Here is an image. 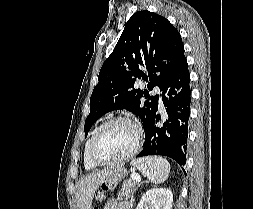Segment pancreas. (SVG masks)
<instances>
[{
    "instance_id": "obj_1",
    "label": "pancreas",
    "mask_w": 253,
    "mask_h": 209,
    "mask_svg": "<svg viewBox=\"0 0 253 209\" xmlns=\"http://www.w3.org/2000/svg\"><path fill=\"white\" fill-rule=\"evenodd\" d=\"M136 191V182L132 180H127L123 183L121 191L118 193V200H125L132 198L134 192ZM123 197V198H122Z\"/></svg>"
}]
</instances>
